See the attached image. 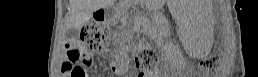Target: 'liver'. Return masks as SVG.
I'll list each match as a JSON object with an SVG mask.
<instances>
[{
	"instance_id": "liver-1",
	"label": "liver",
	"mask_w": 258,
	"mask_h": 77,
	"mask_svg": "<svg viewBox=\"0 0 258 77\" xmlns=\"http://www.w3.org/2000/svg\"><path fill=\"white\" fill-rule=\"evenodd\" d=\"M111 3V0H70L69 27H81L91 19L95 11Z\"/></svg>"
}]
</instances>
